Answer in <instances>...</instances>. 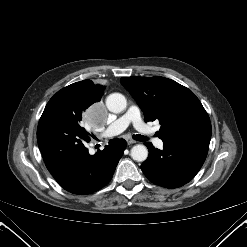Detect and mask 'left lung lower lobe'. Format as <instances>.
<instances>
[{"mask_svg": "<svg viewBox=\"0 0 247 247\" xmlns=\"http://www.w3.org/2000/svg\"><path fill=\"white\" fill-rule=\"evenodd\" d=\"M209 136H184L164 142L163 150L147 142L149 156L141 169L153 183L177 188L194 178L202 167L209 148Z\"/></svg>", "mask_w": 247, "mask_h": 247, "instance_id": "0a47b994", "label": "left lung lower lobe"}]
</instances>
